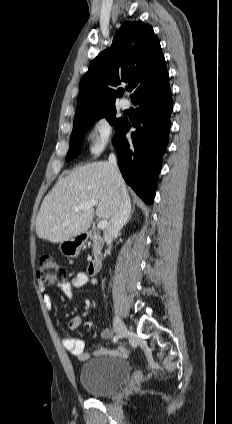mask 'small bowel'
I'll return each mask as SVG.
<instances>
[{
    "label": "small bowel",
    "instance_id": "1",
    "mask_svg": "<svg viewBox=\"0 0 232 424\" xmlns=\"http://www.w3.org/2000/svg\"><path fill=\"white\" fill-rule=\"evenodd\" d=\"M95 285L96 280L90 276L87 272L77 273L70 281L61 282L58 284V289L68 298H72L74 289L83 287L85 285ZM41 291L44 290V286L39 287ZM42 302L47 309H51L53 306L52 298L50 295L44 293L42 295ZM82 324L81 315L72 316L68 322L67 327L71 331L79 329ZM112 337V331L109 328H105L100 333L102 340H109ZM62 343L64 348L74 357L81 361L88 360L92 355H112L115 357H126L128 355V348H108L106 346H97L92 352L85 349V344L80 339H76L70 336H63Z\"/></svg>",
    "mask_w": 232,
    "mask_h": 424
}]
</instances>
